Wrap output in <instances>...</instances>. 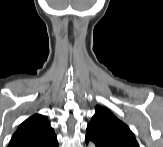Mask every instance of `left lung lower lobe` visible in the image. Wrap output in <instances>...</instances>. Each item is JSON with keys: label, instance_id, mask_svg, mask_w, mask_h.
I'll return each instance as SVG.
<instances>
[{"label": "left lung lower lobe", "instance_id": "left-lung-lower-lobe-1", "mask_svg": "<svg viewBox=\"0 0 163 147\" xmlns=\"http://www.w3.org/2000/svg\"><path fill=\"white\" fill-rule=\"evenodd\" d=\"M85 141H86V143L89 142V141L94 142L96 147H129L127 145H122V144H114V143H107V142L97 141V140L92 139L88 135H86Z\"/></svg>", "mask_w": 163, "mask_h": 147}]
</instances>
